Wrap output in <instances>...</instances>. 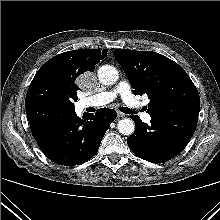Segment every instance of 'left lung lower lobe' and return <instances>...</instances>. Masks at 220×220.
<instances>
[{"mask_svg":"<svg viewBox=\"0 0 220 220\" xmlns=\"http://www.w3.org/2000/svg\"><path fill=\"white\" fill-rule=\"evenodd\" d=\"M199 112L172 111L151 116V125L131 116L135 132L127 139L132 152L153 163L166 162L178 155L191 139Z\"/></svg>","mask_w":220,"mask_h":220,"instance_id":"0a47b994","label":"left lung lower lobe"}]
</instances>
